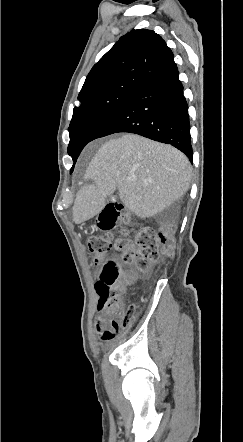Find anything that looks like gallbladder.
<instances>
[{"mask_svg":"<svg viewBox=\"0 0 243 442\" xmlns=\"http://www.w3.org/2000/svg\"><path fill=\"white\" fill-rule=\"evenodd\" d=\"M108 202L110 199H118L120 201V194L119 193H109L108 194Z\"/></svg>","mask_w":243,"mask_h":442,"instance_id":"gallbladder-1","label":"gallbladder"}]
</instances>
